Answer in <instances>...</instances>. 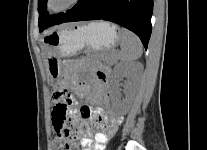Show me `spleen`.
Masks as SVG:
<instances>
[{
	"mask_svg": "<svg viewBox=\"0 0 207 150\" xmlns=\"http://www.w3.org/2000/svg\"><path fill=\"white\" fill-rule=\"evenodd\" d=\"M120 36V52L118 58L122 62L130 63L139 59L142 55V43L140 39L132 32L126 29H121Z\"/></svg>",
	"mask_w": 207,
	"mask_h": 150,
	"instance_id": "3e777b00",
	"label": "spleen"
}]
</instances>
